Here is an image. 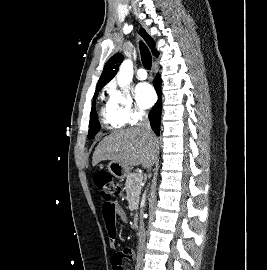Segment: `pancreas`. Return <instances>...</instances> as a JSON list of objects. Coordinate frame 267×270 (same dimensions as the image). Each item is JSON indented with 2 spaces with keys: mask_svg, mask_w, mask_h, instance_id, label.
Wrapping results in <instances>:
<instances>
[{
  "mask_svg": "<svg viewBox=\"0 0 267 270\" xmlns=\"http://www.w3.org/2000/svg\"><path fill=\"white\" fill-rule=\"evenodd\" d=\"M138 172L129 173L126 178L125 190L127 193V200L129 203L138 202L141 193V182L136 181L139 177Z\"/></svg>",
  "mask_w": 267,
  "mask_h": 270,
  "instance_id": "obj_1",
  "label": "pancreas"
}]
</instances>
